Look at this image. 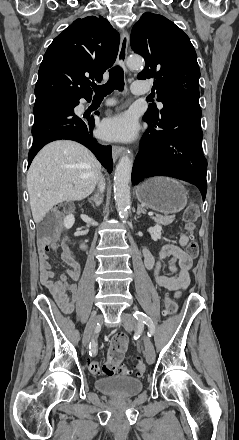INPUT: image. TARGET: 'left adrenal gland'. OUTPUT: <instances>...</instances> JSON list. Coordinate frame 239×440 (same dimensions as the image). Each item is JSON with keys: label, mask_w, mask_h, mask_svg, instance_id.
<instances>
[{"label": "left adrenal gland", "mask_w": 239, "mask_h": 440, "mask_svg": "<svg viewBox=\"0 0 239 440\" xmlns=\"http://www.w3.org/2000/svg\"><path fill=\"white\" fill-rule=\"evenodd\" d=\"M140 214H146V212H144V210H142V208H140V206H138V208H137V216H140Z\"/></svg>", "instance_id": "left-adrenal-gland-1"}]
</instances>
